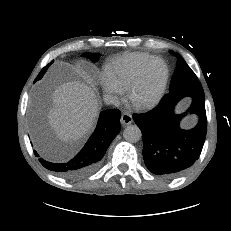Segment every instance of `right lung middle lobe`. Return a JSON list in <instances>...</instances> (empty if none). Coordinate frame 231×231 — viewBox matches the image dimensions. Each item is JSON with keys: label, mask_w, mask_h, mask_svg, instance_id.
Returning a JSON list of instances; mask_svg holds the SVG:
<instances>
[{"label": "right lung middle lobe", "mask_w": 231, "mask_h": 231, "mask_svg": "<svg viewBox=\"0 0 231 231\" xmlns=\"http://www.w3.org/2000/svg\"><path fill=\"white\" fill-rule=\"evenodd\" d=\"M82 56L87 57L91 61L96 62L98 60L100 54H96V53H84V54H82ZM52 62L42 69V71L39 73V75L37 76V78H36L35 81L40 80L43 77V75L45 74L47 68L52 64Z\"/></svg>", "instance_id": "right-lung-middle-lobe-1"}]
</instances>
